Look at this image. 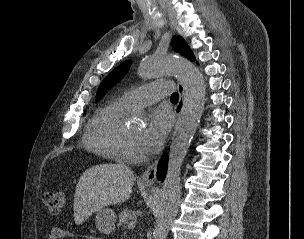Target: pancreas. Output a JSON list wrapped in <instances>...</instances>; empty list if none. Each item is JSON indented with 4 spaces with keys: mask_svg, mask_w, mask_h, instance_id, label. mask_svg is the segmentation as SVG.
<instances>
[{
    "mask_svg": "<svg viewBox=\"0 0 304 239\" xmlns=\"http://www.w3.org/2000/svg\"><path fill=\"white\" fill-rule=\"evenodd\" d=\"M135 218V212L132 210H123L119 215L118 226L128 225Z\"/></svg>",
    "mask_w": 304,
    "mask_h": 239,
    "instance_id": "cf45deb5",
    "label": "pancreas"
}]
</instances>
